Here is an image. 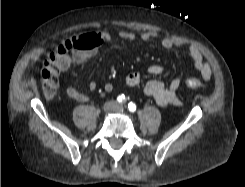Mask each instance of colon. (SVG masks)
Returning <instances> with one entry per match:
<instances>
[{
  "label": "colon",
  "mask_w": 245,
  "mask_h": 187,
  "mask_svg": "<svg viewBox=\"0 0 245 187\" xmlns=\"http://www.w3.org/2000/svg\"><path fill=\"white\" fill-rule=\"evenodd\" d=\"M85 48V37L74 35L61 43L48 54L41 69V83L44 95L53 98L59 89V65L64 63L74 50ZM186 87L190 89L203 90L205 85L198 79L187 76L184 80Z\"/></svg>",
  "instance_id": "1"
}]
</instances>
